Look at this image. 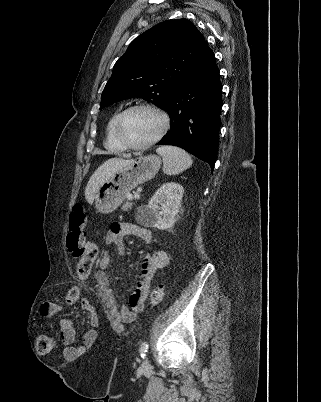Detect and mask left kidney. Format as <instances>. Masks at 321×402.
Here are the masks:
<instances>
[{
	"label": "left kidney",
	"instance_id": "1",
	"mask_svg": "<svg viewBox=\"0 0 321 402\" xmlns=\"http://www.w3.org/2000/svg\"><path fill=\"white\" fill-rule=\"evenodd\" d=\"M183 193L184 188L178 183L163 184L149 200L148 205L138 208L137 221L160 230L171 228L177 220Z\"/></svg>",
	"mask_w": 321,
	"mask_h": 402
}]
</instances>
